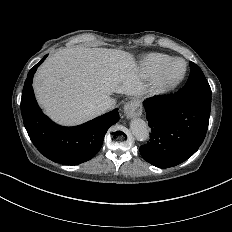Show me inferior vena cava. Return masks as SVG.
Masks as SVG:
<instances>
[{
    "label": "inferior vena cava",
    "instance_id": "obj_1",
    "mask_svg": "<svg viewBox=\"0 0 232 232\" xmlns=\"http://www.w3.org/2000/svg\"><path fill=\"white\" fill-rule=\"evenodd\" d=\"M114 105V101L112 98L104 99L98 106L97 110L101 111L102 113L106 112L107 110L111 109Z\"/></svg>",
    "mask_w": 232,
    "mask_h": 232
}]
</instances>
